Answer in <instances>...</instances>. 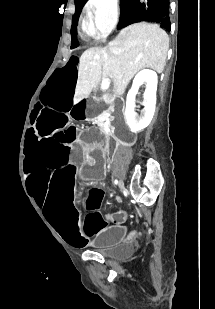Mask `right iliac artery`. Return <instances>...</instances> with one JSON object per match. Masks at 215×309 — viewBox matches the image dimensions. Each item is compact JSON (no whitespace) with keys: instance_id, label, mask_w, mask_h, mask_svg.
<instances>
[{"instance_id":"obj_1","label":"right iliac artery","mask_w":215,"mask_h":309,"mask_svg":"<svg viewBox=\"0 0 215 309\" xmlns=\"http://www.w3.org/2000/svg\"><path fill=\"white\" fill-rule=\"evenodd\" d=\"M114 183L117 185L118 184V180L115 179Z\"/></svg>"}]
</instances>
